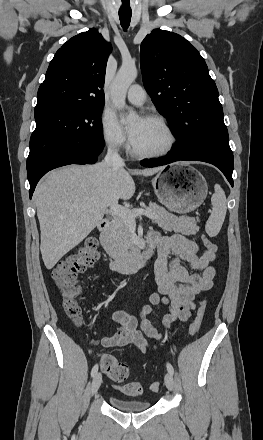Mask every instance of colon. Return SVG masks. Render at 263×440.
I'll return each mask as SVG.
<instances>
[{"instance_id":"5ec220e1","label":"colon","mask_w":263,"mask_h":440,"mask_svg":"<svg viewBox=\"0 0 263 440\" xmlns=\"http://www.w3.org/2000/svg\"><path fill=\"white\" fill-rule=\"evenodd\" d=\"M203 244L211 252L217 251V245L210 239L203 237ZM99 259L98 242L95 238H88L76 251L59 261L52 271V278L60 291L63 307L66 315L75 323L81 322L82 308L80 297L82 289L77 281L78 274L93 266ZM201 325V317L198 314L191 323L189 334L194 336L198 333ZM103 372L113 381L122 382L130 374V367L109 354H103L100 359ZM160 385L154 382L150 385L152 392H158ZM128 395H138L142 386L137 382H130L121 387Z\"/></svg>"}]
</instances>
